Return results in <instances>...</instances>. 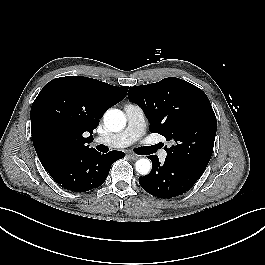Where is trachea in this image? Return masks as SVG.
<instances>
[{
	"instance_id": "1",
	"label": "trachea",
	"mask_w": 265,
	"mask_h": 265,
	"mask_svg": "<svg viewBox=\"0 0 265 265\" xmlns=\"http://www.w3.org/2000/svg\"><path fill=\"white\" fill-rule=\"evenodd\" d=\"M158 148H159L158 145L145 146V147L138 148L137 153H139V155H148V154L154 153Z\"/></svg>"
}]
</instances>
